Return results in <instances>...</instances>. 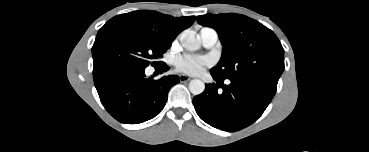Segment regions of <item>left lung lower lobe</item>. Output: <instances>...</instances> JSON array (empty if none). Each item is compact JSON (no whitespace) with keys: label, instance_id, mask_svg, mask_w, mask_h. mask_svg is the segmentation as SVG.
Here are the masks:
<instances>
[{"label":"left lung lower lobe","instance_id":"0a47b994","mask_svg":"<svg viewBox=\"0 0 369 152\" xmlns=\"http://www.w3.org/2000/svg\"><path fill=\"white\" fill-rule=\"evenodd\" d=\"M211 75L218 83L205 85L204 92L193 98V104L203 121L227 132L255 122L276 93L277 85L272 83L230 80L229 85H223L224 80Z\"/></svg>","mask_w":369,"mask_h":152}]
</instances>
